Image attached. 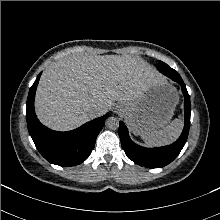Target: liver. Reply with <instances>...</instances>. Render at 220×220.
Wrapping results in <instances>:
<instances>
[{
  "instance_id": "obj_1",
  "label": "liver",
  "mask_w": 220,
  "mask_h": 220,
  "mask_svg": "<svg viewBox=\"0 0 220 220\" xmlns=\"http://www.w3.org/2000/svg\"><path fill=\"white\" fill-rule=\"evenodd\" d=\"M161 79L151 65L130 55H72L42 73L35 111L47 127L72 130L93 118L90 107H99L101 116L115 101H132Z\"/></svg>"
}]
</instances>
